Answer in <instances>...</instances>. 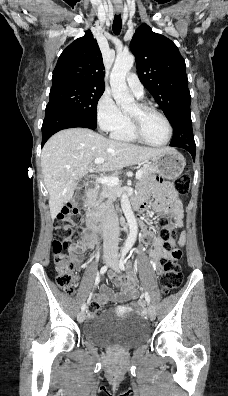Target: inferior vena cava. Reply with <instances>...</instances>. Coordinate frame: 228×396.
I'll use <instances>...</instances> for the list:
<instances>
[{"label": "inferior vena cava", "instance_id": "1", "mask_svg": "<svg viewBox=\"0 0 228 396\" xmlns=\"http://www.w3.org/2000/svg\"><path fill=\"white\" fill-rule=\"evenodd\" d=\"M117 216L114 213L112 202L108 205L107 223L103 228V249L104 254H114L118 252V231L116 228Z\"/></svg>", "mask_w": 228, "mask_h": 396}]
</instances>
